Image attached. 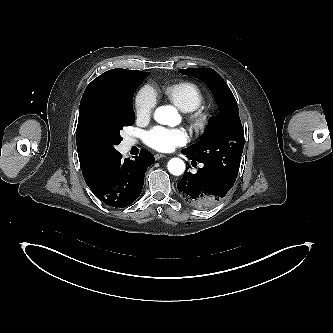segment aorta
I'll use <instances>...</instances> for the list:
<instances>
[{"mask_svg":"<svg viewBox=\"0 0 333 333\" xmlns=\"http://www.w3.org/2000/svg\"><path fill=\"white\" fill-rule=\"evenodd\" d=\"M154 119L163 125L175 126L180 122V116L173 106H161L155 110ZM168 170L171 174L179 176L185 171V163L179 158H172L168 162Z\"/></svg>","mask_w":333,"mask_h":333,"instance_id":"1","label":"aorta"}]
</instances>
